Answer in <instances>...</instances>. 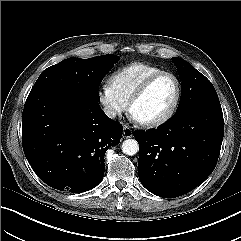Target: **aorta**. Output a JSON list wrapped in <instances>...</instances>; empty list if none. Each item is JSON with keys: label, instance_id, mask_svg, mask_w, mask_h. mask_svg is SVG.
I'll list each match as a JSON object with an SVG mask.
<instances>
[{"label": "aorta", "instance_id": "1", "mask_svg": "<svg viewBox=\"0 0 241 241\" xmlns=\"http://www.w3.org/2000/svg\"><path fill=\"white\" fill-rule=\"evenodd\" d=\"M139 150V145L134 139L124 140L122 143V152L126 155H135Z\"/></svg>", "mask_w": 241, "mask_h": 241}]
</instances>
